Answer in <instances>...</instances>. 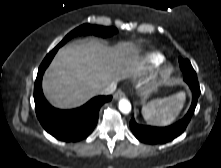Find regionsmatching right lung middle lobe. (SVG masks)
<instances>
[{"label":"right lung middle lobe","instance_id":"obj_1","mask_svg":"<svg viewBox=\"0 0 221 168\" xmlns=\"http://www.w3.org/2000/svg\"><path fill=\"white\" fill-rule=\"evenodd\" d=\"M115 33H117V29L113 27H103V26H97V25L83 24L79 26L78 28L74 29L73 31H71L69 34H67L66 37L57 46L61 47L72 37L77 36V35L94 34V35L106 37V36H111Z\"/></svg>","mask_w":221,"mask_h":168}]
</instances>
